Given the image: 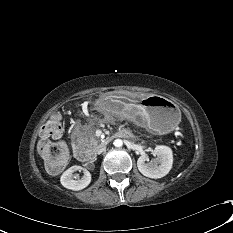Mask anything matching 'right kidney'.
I'll return each mask as SVG.
<instances>
[{"label": "right kidney", "instance_id": "right-kidney-1", "mask_svg": "<svg viewBox=\"0 0 233 233\" xmlns=\"http://www.w3.org/2000/svg\"><path fill=\"white\" fill-rule=\"evenodd\" d=\"M78 170L84 171V175L81 178H79L78 175H73V173ZM60 182L67 189L79 191L86 188L90 184L91 174L81 166L74 165L61 175Z\"/></svg>", "mask_w": 233, "mask_h": 233}]
</instances>
